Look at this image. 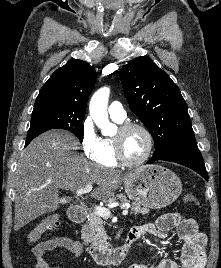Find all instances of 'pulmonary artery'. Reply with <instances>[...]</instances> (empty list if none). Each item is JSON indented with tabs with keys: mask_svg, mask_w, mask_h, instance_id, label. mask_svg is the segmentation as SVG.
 Masks as SVG:
<instances>
[{
	"mask_svg": "<svg viewBox=\"0 0 221 268\" xmlns=\"http://www.w3.org/2000/svg\"><path fill=\"white\" fill-rule=\"evenodd\" d=\"M108 113L110 117L117 122H122L126 118V111L118 101H114L109 105Z\"/></svg>",
	"mask_w": 221,
	"mask_h": 268,
	"instance_id": "1",
	"label": "pulmonary artery"
}]
</instances>
